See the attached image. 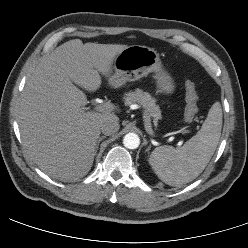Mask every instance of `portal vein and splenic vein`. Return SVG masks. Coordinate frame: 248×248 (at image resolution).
<instances>
[{
    "instance_id": "1",
    "label": "portal vein and splenic vein",
    "mask_w": 248,
    "mask_h": 248,
    "mask_svg": "<svg viewBox=\"0 0 248 248\" xmlns=\"http://www.w3.org/2000/svg\"><path fill=\"white\" fill-rule=\"evenodd\" d=\"M96 109L99 112L109 113V112L114 110V105L112 103L106 102V103L99 104L96 107ZM145 118H146V116L144 114V120H145ZM145 128H146V131L148 132L149 135H151V136L154 135L152 129L149 126V124L146 123V122H145Z\"/></svg>"
}]
</instances>
